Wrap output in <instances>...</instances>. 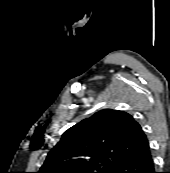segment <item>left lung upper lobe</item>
<instances>
[{
    "label": "left lung upper lobe",
    "instance_id": "1",
    "mask_svg": "<svg viewBox=\"0 0 170 173\" xmlns=\"http://www.w3.org/2000/svg\"><path fill=\"white\" fill-rule=\"evenodd\" d=\"M148 146L130 114L104 109L65 131L38 173H114Z\"/></svg>",
    "mask_w": 170,
    "mask_h": 173
}]
</instances>
